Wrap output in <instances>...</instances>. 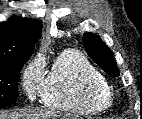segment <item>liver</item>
I'll use <instances>...</instances> for the list:
<instances>
[{
    "label": "liver",
    "instance_id": "1",
    "mask_svg": "<svg viewBox=\"0 0 142 119\" xmlns=\"http://www.w3.org/2000/svg\"><path fill=\"white\" fill-rule=\"evenodd\" d=\"M69 116H65L55 111L46 109H29L16 112L14 114H6L0 112V119H69Z\"/></svg>",
    "mask_w": 142,
    "mask_h": 119
}]
</instances>
